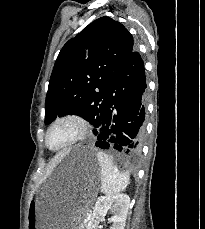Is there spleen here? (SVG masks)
Masks as SVG:
<instances>
[{
  "label": "spleen",
  "mask_w": 205,
  "mask_h": 229,
  "mask_svg": "<svg viewBox=\"0 0 205 229\" xmlns=\"http://www.w3.org/2000/svg\"><path fill=\"white\" fill-rule=\"evenodd\" d=\"M97 159L101 167V191L106 195H114L125 190L130 183L129 174L120 172L104 152H98Z\"/></svg>",
  "instance_id": "1"
}]
</instances>
